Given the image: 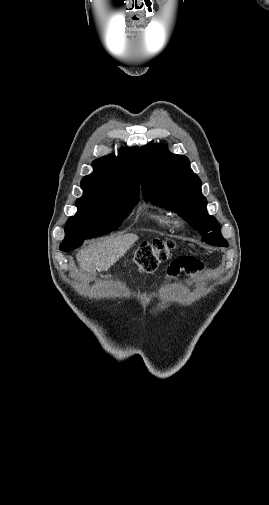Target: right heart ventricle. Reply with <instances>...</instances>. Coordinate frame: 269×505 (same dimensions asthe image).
<instances>
[{"label": "right heart ventricle", "instance_id": "1", "mask_svg": "<svg viewBox=\"0 0 269 505\" xmlns=\"http://www.w3.org/2000/svg\"><path fill=\"white\" fill-rule=\"evenodd\" d=\"M144 214L147 219L154 222L159 227L164 229L172 228V219L167 213L162 211L146 210Z\"/></svg>", "mask_w": 269, "mask_h": 505}]
</instances>
